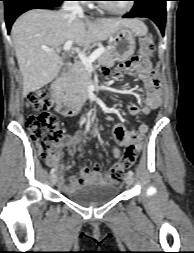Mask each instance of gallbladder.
I'll use <instances>...</instances> for the list:
<instances>
[{
    "label": "gallbladder",
    "instance_id": "bac80fb5",
    "mask_svg": "<svg viewBox=\"0 0 194 253\" xmlns=\"http://www.w3.org/2000/svg\"><path fill=\"white\" fill-rule=\"evenodd\" d=\"M62 70H63V67L61 68V70H60L59 74H61V73H62Z\"/></svg>",
    "mask_w": 194,
    "mask_h": 253
}]
</instances>
